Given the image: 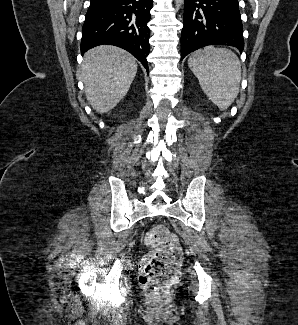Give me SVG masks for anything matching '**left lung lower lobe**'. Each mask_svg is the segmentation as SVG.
<instances>
[{
  "label": "left lung lower lobe",
  "instance_id": "0a47b994",
  "mask_svg": "<svg viewBox=\"0 0 298 325\" xmlns=\"http://www.w3.org/2000/svg\"><path fill=\"white\" fill-rule=\"evenodd\" d=\"M181 60L207 45L244 48L238 0H184Z\"/></svg>",
  "mask_w": 298,
  "mask_h": 325
}]
</instances>
